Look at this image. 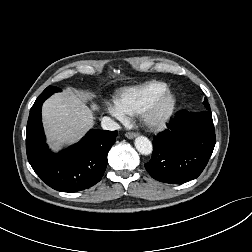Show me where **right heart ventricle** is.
<instances>
[{"instance_id":"e07e8e85","label":"right heart ventricle","mask_w":252,"mask_h":252,"mask_svg":"<svg viewBox=\"0 0 252 252\" xmlns=\"http://www.w3.org/2000/svg\"><path fill=\"white\" fill-rule=\"evenodd\" d=\"M168 84L161 80H149L139 85L124 88L115 97L116 107L129 116H139L144 107Z\"/></svg>"}]
</instances>
